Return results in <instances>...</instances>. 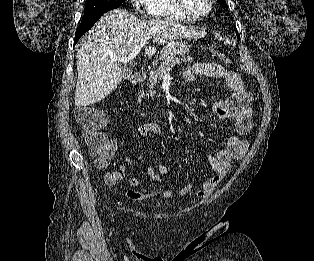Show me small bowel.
Segmentation results:
<instances>
[{
    "mask_svg": "<svg viewBox=\"0 0 314 261\" xmlns=\"http://www.w3.org/2000/svg\"><path fill=\"white\" fill-rule=\"evenodd\" d=\"M183 79L186 82H191L197 77L205 76L216 79H222L225 81L227 87L232 91V94L223 100H219L214 103L213 111L215 115L222 120H234L236 133L240 136H245L251 131V116H252V93L245 87L242 78L234 71L225 69L219 64L210 62H197L188 67L183 71ZM106 122L104 116V124ZM103 124V125H104ZM162 127L155 123H145L138 129V134L144 139H148L151 135L162 134ZM112 152L102 159L96 160V165L100 169L106 168L113 156L116 153L117 147L114 142H111ZM248 148V141L241 139L238 136H230L226 141L223 148L217 151L215 157H207V160L212 166L211 175L206 178L202 184V188L197 191L200 197L210 196L226 174L232 167L234 160L241 159ZM125 162H129V158H125ZM149 177L157 182L161 183V189L150 192L148 194H142L135 189H127L125 195L132 200H139L142 198H154L158 195H162L166 198L172 196L171 188L163 182L162 177L169 173V168L165 164H158L153 167L150 166L146 169ZM115 176V182L120 181L125 174V165L120 166L118 171L109 172ZM128 183L132 187H138L140 180L136 177H130ZM192 190V184H184L179 193L186 195Z\"/></svg>",
    "mask_w": 314,
    "mask_h": 261,
    "instance_id": "obj_1",
    "label": "small bowel"
}]
</instances>
